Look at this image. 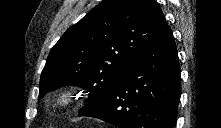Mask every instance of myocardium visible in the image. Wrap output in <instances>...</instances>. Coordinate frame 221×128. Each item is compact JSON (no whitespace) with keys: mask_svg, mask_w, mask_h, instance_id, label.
<instances>
[{"mask_svg":"<svg viewBox=\"0 0 221 128\" xmlns=\"http://www.w3.org/2000/svg\"><path fill=\"white\" fill-rule=\"evenodd\" d=\"M72 103L71 91H61L56 98V107L58 109L65 108Z\"/></svg>","mask_w":221,"mask_h":128,"instance_id":"myocardium-1","label":"myocardium"}]
</instances>
